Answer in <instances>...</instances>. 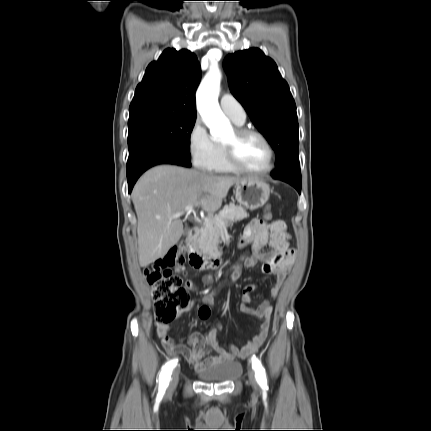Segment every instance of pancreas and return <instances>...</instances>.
Here are the masks:
<instances>
[{
    "label": "pancreas",
    "mask_w": 431,
    "mask_h": 431,
    "mask_svg": "<svg viewBox=\"0 0 431 431\" xmlns=\"http://www.w3.org/2000/svg\"><path fill=\"white\" fill-rule=\"evenodd\" d=\"M249 215L242 206L230 203L215 216H208L205 224L201 229L199 239V247L206 255H219L221 231L228 227L232 222L240 221L247 218ZM222 223V225H220Z\"/></svg>",
    "instance_id": "pancreas-1"
}]
</instances>
